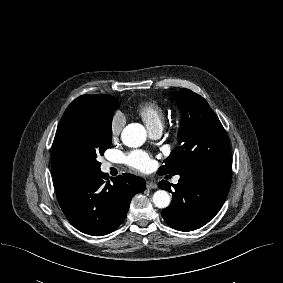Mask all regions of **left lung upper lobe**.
Returning <instances> with one entry per match:
<instances>
[{"mask_svg": "<svg viewBox=\"0 0 283 283\" xmlns=\"http://www.w3.org/2000/svg\"><path fill=\"white\" fill-rule=\"evenodd\" d=\"M181 110L179 146L164 160L158 173H199L210 176L232 174L226 132L207 101L188 89L174 92Z\"/></svg>", "mask_w": 283, "mask_h": 283, "instance_id": "left-lung-upper-lobe-1", "label": "left lung upper lobe"}]
</instances>
